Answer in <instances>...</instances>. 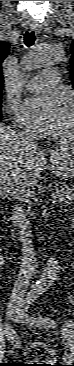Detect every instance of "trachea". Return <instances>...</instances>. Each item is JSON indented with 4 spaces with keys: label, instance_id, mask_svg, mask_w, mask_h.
<instances>
[{
    "label": "trachea",
    "instance_id": "obj_1",
    "mask_svg": "<svg viewBox=\"0 0 74 366\" xmlns=\"http://www.w3.org/2000/svg\"><path fill=\"white\" fill-rule=\"evenodd\" d=\"M35 33L34 31H26L24 34V43L27 47H31L35 42Z\"/></svg>",
    "mask_w": 74,
    "mask_h": 366
}]
</instances>
